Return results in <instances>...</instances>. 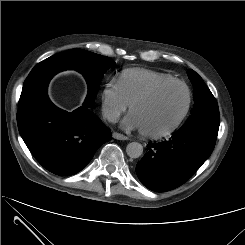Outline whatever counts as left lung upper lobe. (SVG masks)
Returning <instances> with one entry per match:
<instances>
[{
    "mask_svg": "<svg viewBox=\"0 0 245 245\" xmlns=\"http://www.w3.org/2000/svg\"><path fill=\"white\" fill-rule=\"evenodd\" d=\"M187 73L194 87L195 104L190 117L178 131L199 129L218 134L220 114L216 99L195 71Z\"/></svg>",
    "mask_w": 245,
    "mask_h": 245,
    "instance_id": "1",
    "label": "left lung upper lobe"
}]
</instances>
